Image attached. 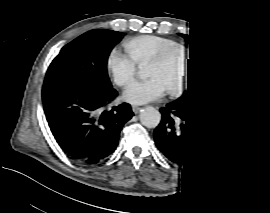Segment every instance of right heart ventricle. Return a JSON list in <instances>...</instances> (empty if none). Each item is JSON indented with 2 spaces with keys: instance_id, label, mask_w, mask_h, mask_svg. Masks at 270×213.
<instances>
[{
  "instance_id": "right-heart-ventricle-1",
  "label": "right heart ventricle",
  "mask_w": 270,
  "mask_h": 213,
  "mask_svg": "<svg viewBox=\"0 0 270 213\" xmlns=\"http://www.w3.org/2000/svg\"><path fill=\"white\" fill-rule=\"evenodd\" d=\"M178 46L174 39L156 35H143L127 45L129 57L136 64H148L157 55Z\"/></svg>"
}]
</instances>
